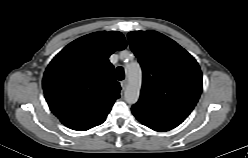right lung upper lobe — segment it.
<instances>
[{"label": "right lung upper lobe", "mask_w": 248, "mask_h": 158, "mask_svg": "<svg viewBox=\"0 0 248 158\" xmlns=\"http://www.w3.org/2000/svg\"><path fill=\"white\" fill-rule=\"evenodd\" d=\"M125 47L122 33L100 31L74 40L53 58L43 90L65 126L85 131L105 121L121 89L108 58Z\"/></svg>", "instance_id": "cb5924a9"}]
</instances>
